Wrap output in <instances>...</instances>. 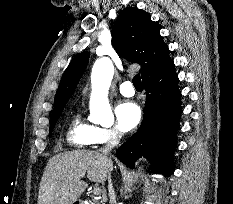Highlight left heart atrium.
<instances>
[{
	"instance_id": "obj_1",
	"label": "left heart atrium",
	"mask_w": 233,
	"mask_h": 204,
	"mask_svg": "<svg viewBox=\"0 0 233 204\" xmlns=\"http://www.w3.org/2000/svg\"><path fill=\"white\" fill-rule=\"evenodd\" d=\"M115 115L118 128L123 132H128L139 124L142 112L136 103L125 101L116 107Z\"/></svg>"
}]
</instances>
